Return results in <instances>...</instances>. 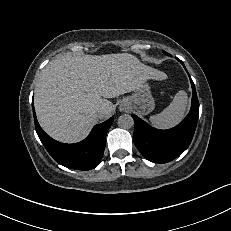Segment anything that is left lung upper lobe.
Returning <instances> with one entry per match:
<instances>
[{
  "mask_svg": "<svg viewBox=\"0 0 231 231\" xmlns=\"http://www.w3.org/2000/svg\"><path fill=\"white\" fill-rule=\"evenodd\" d=\"M166 55H170L169 53H167V52H164Z\"/></svg>",
  "mask_w": 231,
  "mask_h": 231,
  "instance_id": "obj_1",
  "label": "left lung upper lobe"
}]
</instances>
